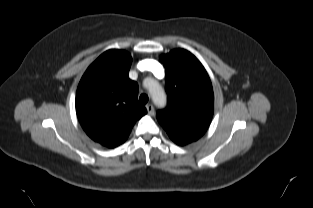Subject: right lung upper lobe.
I'll return each mask as SVG.
<instances>
[{
    "instance_id": "obj_1",
    "label": "right lung upper lobe",
    "mask_w": 313,
    "mask_h": 208,
    "mask_svg": "<svg viewBox=\"0 0 313 208\" xmlns=\"http://www.w3.org/2000/svg\"><path fill=\"white\" fill-rule=\"evenodd\" d=\"M131 55L112 49L86 70L77 88L78 120L94 141L114 148L128 138L135 122L147 113L138 103V84L128 77Z\"/></svg>"
}]
</instances>
